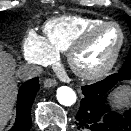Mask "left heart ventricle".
<instances>
[{
	"instance_id": "b2bd125f",
	"label": "left heart ventricle",
	"mask_w": 131,
	"mask_h": 131,
	"mask_svg": "<svg viewBox=\"0 0 131 131\" xmlns=\"http://www.w3.org/2000/svg\"><path fill=\"white\" fill-rule=\"evenodd\" d=\"M119 41L120 33L115 26L101 29L77 55V64L84 69H95L104 65L113 55Z\"/></svg>"
}]
</instances>
